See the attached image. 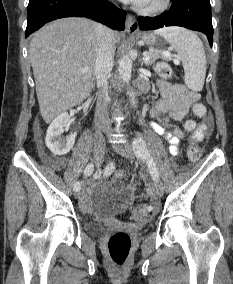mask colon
I'll list each match as a JSON object with an SVG mask.
<instances>
[{"instance_id": "1", "label": "colon", "mask_w": 233, "mask_h": 284, "mask_svg": "<svg viewBox=\"0 0 233 284\" xmlns=\"http://www.w3.org/2000/svg\"><path fill=\"white\" fill-rule=\"evenodd\" d=\"M156 72L159 76L164 79H170L173 76V71L170 65L165 62H158L155 66ZM193 112L198 117H205L207 112L206 108L201 103H196L193 106ZM196 124L194 121L190 120L186 122L185 129L187 131L194 130ZM201 156V150L195 145H190L188 148V157L192 161H196ZM104 177H115L117 179L124 178V172L117 170L113 163H109L102 171ZM149 215V210L147 206L141 205L137 206L133 210V217L138 220L147 218ZM131 247L130 236L123 231L116 232L112 234L108 241V251L113 263L117 266H122L129 255Z\"/></svg>"}]
</instances>
